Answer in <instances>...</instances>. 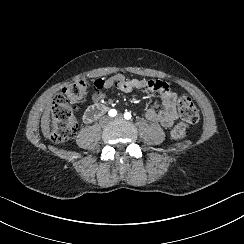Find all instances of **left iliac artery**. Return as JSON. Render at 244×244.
<instances>
[{
  "mask_svg": "<svg viewBox=\"0 0 244 244\" xmlns=\"http://www.w3.org/2000/svg\"><path fill=\"white\" fill-rule=\"evenodd\" d=\"M124 118L127 119V120L131 119V113L125 112L124 113Z\"/></svg>",
  "mask_w": 244,
  "mask_h": 244,
  "instance_id": "obj_1",
  "label": "left iliac artery"
}]
</instances>
